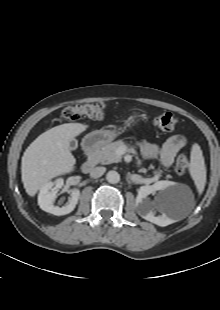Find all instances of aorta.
Instances as JSON below:
<instances>
[{"label":"aorta","instance_id":"1","mask_svg":"<svg viewBox=\"0 0 220 310\" xmlns=\"http://www.w3.org/2000/svg\"><path fill=\"white\" fill-rule=\"evenodd\" d=\"M106 179L111 184H116L120 181V175L118 172L111 170L107 173Z\"/></svg>","mask_w":220,"mask_h":310}]
</instances>
